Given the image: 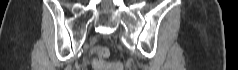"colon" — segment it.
<instances>
[{"label": "colon", "instance_id": "colon-1", "mask_svg": "<svg viewBox=\"0 0 238 70\" xmlns=\"http://www.w3.org/2000/svg\"><path fill=\"white\" fill-rule=\"evenodd\" d=\"M95 59L93 66L96 70H121V63H106L105 58L109 56V50L105 46H98L94 49Z\"/></svg>", "mask_w": 238, "mask_h": 70}]
</instances>
